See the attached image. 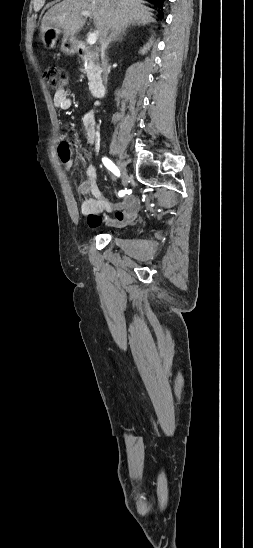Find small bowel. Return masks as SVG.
<instances>
[{"label":"small bowel","instance_id":"small-bowel-1","mask_svg":"<svg viewBox=\"0 0 253 548\" xmlns=\"http://www.w3.org/2000/svg\"><path fill=\"white\" fill-rule=\"evenodd\" d=\"M53 100L55 106L60 110H68L72 106V99L65 90L57 91ZM84 132L86 144L89 148H92L97 141V125L93 110L85 115ZM62 143L60 142L58 146L60 158L64 167L71 169L73 161L70 156L62 155L60 151ZM86 175L87 180L79 185L78 192L82 196L81 213L87 216L91 228H97L102 222L108 226H123L132 222L138 216L141 202L136 196L129 195L119 203H112L103 195L98 183L97 169L94 166H89ZM113 211L115 217L111 218L107 214Z\"/></svg>","mask_w":253,"mask_h":548}]
</instances>
